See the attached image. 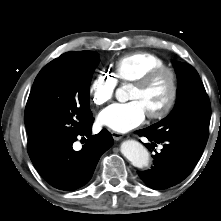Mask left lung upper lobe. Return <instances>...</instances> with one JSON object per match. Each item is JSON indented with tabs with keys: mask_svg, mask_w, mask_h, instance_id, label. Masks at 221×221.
<instances>
[{
	"mask_svg": "<svg viewBox=\"0 0 221 221\" xmlns=\"http://www.w3.org/2000/svg\"><path fill=\"white\" fill-rule=\"evenodd\" d=\"M178 99L171 113L150 126L156 138H180L205 146L211 118L210 101L197 71L175 62Z\"/></svg>",
	"mask_w": 221,
	"mask_h": 221,
	"instance_id": "5c2ea615",
	"label": "left lung upper lobe"
}]
</instances>
